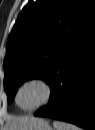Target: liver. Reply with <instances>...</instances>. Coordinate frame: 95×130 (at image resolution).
<instances>
[{"label":"liver","instance_id":"obj_1","mask_svg":"<svg viewBox=\"0 0 95 130\" xmlns=\"http://www.w3.org/2000/svg\"><path fill=\"white\" fill-rule=\"evenodd\" d=\"M31 116H24L19 118H11L8 122L7 130H17L21 125L25 124Z\"/></svg>","mask_w":95,"mask_h":130}]
</instances>
